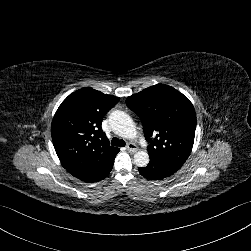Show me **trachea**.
Returning a JSON list of instances; mask_svg holds the SVG:
<instances>
[{"instance_id": "trachea-1", "label": "trachea", "mask_w": 251, "mask_h": 251, "mask_svg": "<svg viewBox=\"0 0 251 251\" xmlns=\"http://www.w3.org/2000/svg\"><path fill=\"white\" fill-rule=\"evenodd\" d=\"M111 145L112 146H118V147H124L126 145L125 141L124 140H120L116 137H114L112 140H111Z\"/></svg>"}]
</instances>
